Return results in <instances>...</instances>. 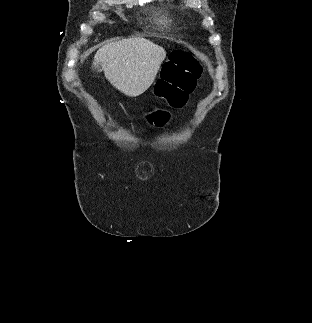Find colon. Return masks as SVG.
Listing matches in <instances>:
<instances>
[{"label":"colon","instance_id":"colon-1","mask_svg":"<svg viewBox=\"0 0 312 323\" xmlns=\"http://www.w3.org/2000/svg\"><path fill=\"white\" fill-rule=\"evenodd\" d=\"M202 73V65L191 53L176 50L172 58L165 66V78H159L156 86L157 94L167 101L174 109L181 108L187 95L193 91L194 81ZM170 114L166 111H158L148 117V122L158 127L170 121Z\"/></svg>","mask_w":312,"mask_h":323}]
</instances>
